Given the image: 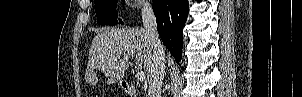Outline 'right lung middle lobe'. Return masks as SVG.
I'll return each instance as SVG.
<instances>
[{
	"label": "right lung middle lobe",
	"mask_w": 302,
	"mask_h": 97,
	"mask_svg": "<svg viewBox=\"0 0 302 97\" xmlns=\"http://www.w3.org/2000/svg\"><path fill=\"white\" fill-rule=\"evenodd\" d=\"M95 11L101 25H116L118 0H95ZM120 23L123 22L120 20Z\"/></svg>",
	"instance_id": "dd1d6c3e"
}]
</instances>
